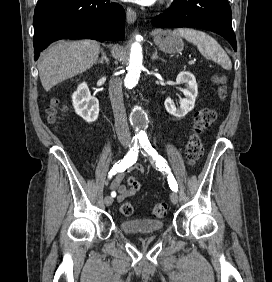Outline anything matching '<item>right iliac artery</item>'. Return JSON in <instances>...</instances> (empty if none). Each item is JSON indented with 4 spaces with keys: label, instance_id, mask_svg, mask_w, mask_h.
Instances as JSON below:
<instances>
[{
    "label": "right iliac artery",
    "instance_id": "obj_1",
    "mask_svg": "<svg viewBox=\"0 0 272 282\" xmlns=\"http://www.w3.org/2000/svg\"><path fill=\"white\" fill-rule=\"evenodd\" d=\"M130 150L129 152L125 155V157L121 160L118 161V163H116L113 168L110 170L109 172V178H111L113 175H115L118 172H123L125 171L127 168H129L130 166H132L138 157V143L137 141L132 142L130 145ZM112 197L116 196V192H112L111 193Z\"/></svg>",
    "mask_w": 272,
    "mask_h": 282
}]
</instances>
